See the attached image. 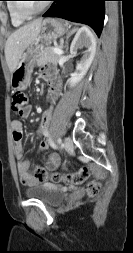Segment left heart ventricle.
<instances>
[{"label": "left heart ventricle", "mask_w": 133, "mask_h": 253, "mask_svg": "<svg viewBox=\"0 0 133 253\" xmlns=\"http://www.w3.org/2000/svg\"><path fill=\"white\" fill-rule=\"evenodd\" d=\"M43 3L44 2H42V1H33V2H24L21 4L28 11H34V10L38 9Z\"/></svg>", "instance_id": "obj_1"}]
</instances>
